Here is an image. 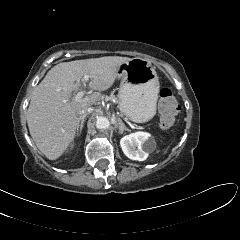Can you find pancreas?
Returning a JSON list of instances; mask_svg holds the SVG:
<instances>
[{"instance_id": "cf45deb5", "label": "pancreas", "mask_w": 240, "mask_h": 240, "mask_svg": "<svg viewBox=\"0 0 240 240\" xmlns=\"http://www.w3.org/2000/svg\"><path fill=\"white\" fill-rule=\"evenodd\" d=\"M106 99L117 102V98L114 95H111V96L107 97Z\"/></svg>"}]
</instances>
